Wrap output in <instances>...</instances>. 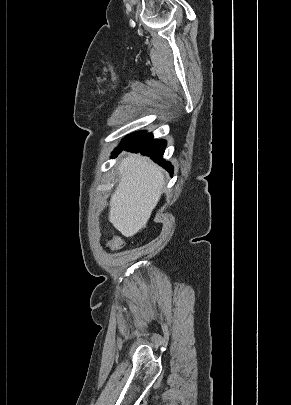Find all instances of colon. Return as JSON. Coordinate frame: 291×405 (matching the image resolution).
<instances>
[{
  "label": "colon",
  "mask_w": 291,
  "mask_h": 405,
  "mask_svg": "<svg viewBox=\"0 0 291 405\" xmlns=\"http://www.w3.org/2000/svg\"><path fill=\"white\" fill-rule=\"evenodd\" d=\"M109 246H110L111 249L116 250V249H119V248H121L123 246V242L119 237H114L109 242Z\"/></svg>",
  "instance_id": "colon-1"
}]
</instances>
